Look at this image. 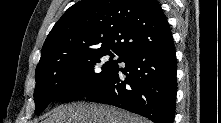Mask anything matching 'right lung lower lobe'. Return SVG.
Here are the masks:
<instances>
[{
	"mask_svg": "<svg viewBox=\"0 0 221 123\" xmlns=\"http://www.w3.org/2000/svg\"><path fill=\"white\" fill-rule=\"evenodd\" d=\"M117 68L85 95L142 115L154 123H173L176 109L177 62L172 35L161 43L124 54Z\"/></svg>",
	"mask_w": 221,
	"mask_h": 123,
	"instance_id": "right-lung-lower-lobe-1",
	"label": "right lung lower lobe"
}]
</instances>
